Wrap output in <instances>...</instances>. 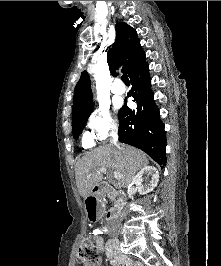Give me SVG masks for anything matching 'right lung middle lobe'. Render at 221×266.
<instances>
[{
	"mask_svg": "<svg viewBox=\"0 0 221 266\" xmlns=\"http://www.w3.org/2000/svg\"><path fill=\"white\" fill-rule=\"evenodd\" d=\"M92 111V110H91ZM91 111L72 117V133L74 139H77L84 129Z\"/></svg>",
	"mask_w": 221,
	"mask_h": 266,
	"instance_id": "dd1d6c3e",
	"label": "right lung middle lobe"
}]
</instances>
